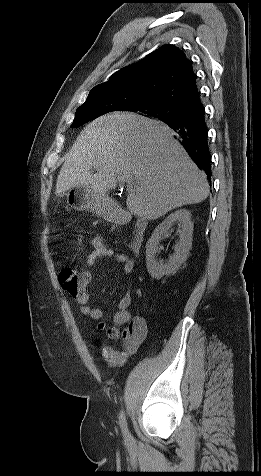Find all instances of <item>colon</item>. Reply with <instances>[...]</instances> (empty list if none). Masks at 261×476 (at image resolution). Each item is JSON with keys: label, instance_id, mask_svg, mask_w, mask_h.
<instances>
[{"label": "colon", "instance_id": "5ec220e1", "mask_svg": "<svg viewBox=\"0 0 261 476\" xmlns=\"http://www.w3.org/2000/svg\"><path fill=\"white\" fill-rule=\"evenodd\" d=\"M87 281L88 278L73 267H63L59 272V282L70 294H75Z\"/></svg>", "mask_w": 261, "mask_h": 476}]
</instances>
